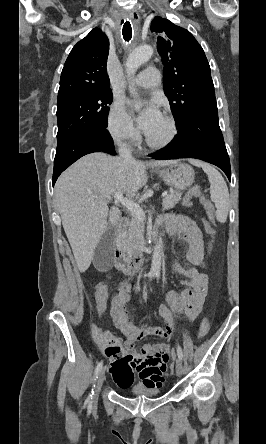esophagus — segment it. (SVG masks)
<instances>
[{
	"mask_svg": "<svg viewBox=\"0 0 266 444\" xmlns=\"http://www.w3.org/2000/svg\"><path fill=\"white\" fill-rule=\"evenodd\" d=\"M129 17L135 22L138 23L140 20V16L139 13L137 12V10H132V12H130Z\"/></svg>",
	"mask_w": 266,
	"mask_h": 444,
	"instance_id": "34e87169",
	"label": "esophagus"
}]
</instances>
